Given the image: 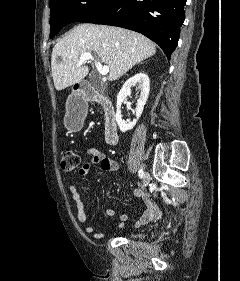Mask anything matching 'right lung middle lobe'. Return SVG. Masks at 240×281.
Instances as JSON below:
<instances>
[{
	"label": "right lung middle lobe",
	"instance_id": "obj_1",
	"mask_svg": "<svg viewBox=\"0 0 240 281\" xmlns=\"http://www.w3.org/2000/svg\"><path fill=\"white\" fill-rule=\"evenodd\" d=\"M118 0H51L50 37L72 22L91 23L108 12Z\"/></svg>",
	"mask_w": 240,
	"mask_h": 281
}]
</instances>
